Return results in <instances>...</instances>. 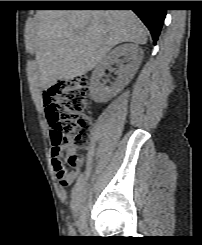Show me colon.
I'll list each match as a JSON object with an SVG mask.
<instances>
[{"instance_id":"1","label":"colon","mask_w":202,"mask_h":245,"mask_svg":"<svg viewBox=\"0 0 202 245\" xmlns=\"http://www.w3.org/2000/svg\"><path fill=\"white\" fill-rule=\"evenodd\" d=\"M90 99L89 82L85 77L62 81L57 87L55 109L50 116V142L57 147L64 143L66 136L73 139L66 151L71 167L80 161L76 152L85 145L90 134L91 120L87 114Z\"/></svg>"}]
</instances>
